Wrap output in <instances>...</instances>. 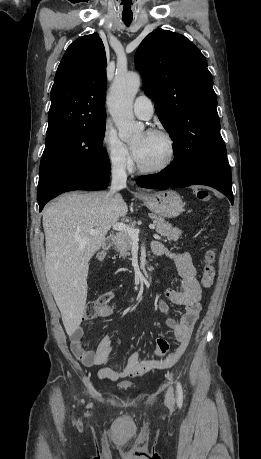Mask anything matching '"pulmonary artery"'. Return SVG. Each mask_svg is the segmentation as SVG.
Segmentation results:
<instances>
[{
  "instance_id": "pulmonary-artery-1",
  "label": "pulmonary artery",
  "mask_w": 261,
  "mask_h": 459,
  "mask_svg": "<svg viewBox=\"0 0 261 459\" xmlns=\"http://www.w3.org/2000/svg\"><path fill=\"white\" fill-rule=\"evenodd\" d=\"M133 111L138 118L150 119L154 113L151 99L145 95L138 96L134 101Z\"/></svg>"
}]
</instances>
